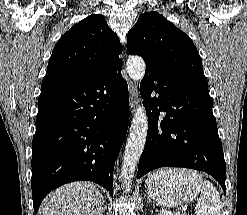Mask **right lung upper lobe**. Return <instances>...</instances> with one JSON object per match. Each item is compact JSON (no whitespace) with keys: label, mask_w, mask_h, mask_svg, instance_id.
<instances>
[{"label":"right lung upper lobe","mask_w":247,"mask_h":215,"mask_svg":"<svg viewBox=\"0 0 247 215\" xmlns=\"http://www.w3.org/2000/svg\"><path fill=\"white\" fill-rule=\"evenodd\" d=\"M122 45L103 15L92 14L75 24L56 43L47 76L82 82L119 65Z\"/></svg>","instance_id":"1"}]
</instances>
